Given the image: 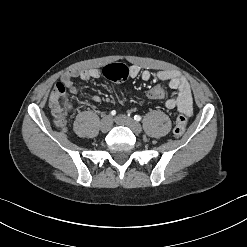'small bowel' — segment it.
I'll return each instance as SVG.
<instances>
[{
	"label": "small bowel",
	"mask_w": 247,
	"mask_h": 247,
	"mask_svg": "<svg viewBox=\"0 0 247 247\" xmlns=\"http://www.w3.org/2000/svg\"><path fill=\"white\" fill-rule=\"evenodd\" d=\"M129 71L132 78L140 77L142 80L148 81L152 77V73L149 70H141L137 65L130 66ZM100 74V71L94 68L74 69L64 73L58 83L63 84L72 95L80 97L79 91L73 83V79L79 78L83 81H89L99 78ZM156 76L159 80L168 82L169 87L176 91V96L166 99V108H177L180 113L190 116L193 109V100L190 85L185 77L177 70H161L157 72ZM90 99L94 102L101 100L99 96H92Z\"/></svg>",
	"instance_id": "obj_1"
}]
</instances>
